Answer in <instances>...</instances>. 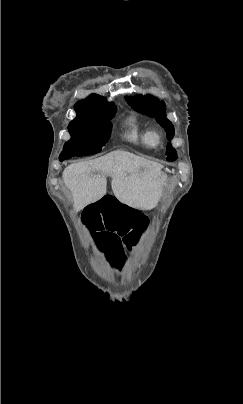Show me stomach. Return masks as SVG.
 Wrapping results in <instances>:
<instances>
[{"label": "stomach", "instance_id": "0dacf381", "mask_svg": "<svg viewBox=\"0 0 243 404\" xmlns=\"http://www.w3.org/2000/svg\"><path fill=\"white\" fill-rule=\"evenodd\" d=\"M160 178H161V180H164V174L163 173H161Z\"/></svg>", "mask_w": 243, "mask_h": 404}]
</instances>
